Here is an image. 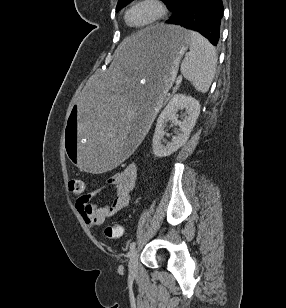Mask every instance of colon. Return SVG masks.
I'll list each match as a JSON object with an SVG mask.
<instances>
[{
  "label": "colon",
  "mask_w": 286,
  "mask_h": 308,
  "mask_svg": "<svg viewBox=\"0 0 286 308\" xmlns=\"http://www.w3.org/2000/svg\"><path fill=\"white\" fill-rule=\"evenodd\" d=\"M83 188V181L80 179H72L69 182V190L71 192H80ZM123 229L118 224L106 225L103 229L104 236L109 239H117L122 235Z\"/></svg>",
  "instance_id": "1"
}]
</instances>
